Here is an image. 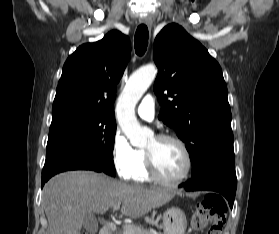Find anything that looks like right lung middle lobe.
Instances as JSON below:
<instances>
[{
    "mask_svg": "<svg viewBox=\"0 0 279 234\" xmlns=\"http://www.w3.org/2000/svg\"><path fill=\"white\" fill-rule=\"evenodd\" d=\"M115 134L114 116L82 110L52 112L45 164L63 155L78 154L97 164L103 172L115 176Z\"/></svg>",
    "mask_w": 279,
    "mask_h": 234,
    "instance_id": "1",
    "label": "right lung middle lobe"
}]
</instances>
